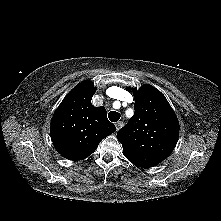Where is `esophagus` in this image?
I'll use <instances>...</instances> for the list:
<instances>
[{
    "instance_id": "esophagus-1",
    "label": "esophagus",
    "mask_w": 221,
    "mask_h": 221,
    "mask_svg": "<svg viewBox=\"0 0 221 221\" xmlns=\"http://www.w3.org/2000/svg\"><path fill=\"white\" fill-rule=\"evenodd\" d=\"M122 126H123V122H122V121L117 122V123H116V129H117V131H118L120 128H122Z\"/></svg>"
}]
</instances>
